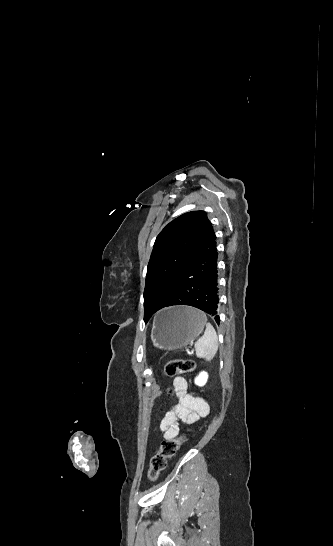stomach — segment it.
I'll return each mask as SVG.
<instances>
[{"instance_id": "1", "label": "stomach", "mask_w": 333, "mask_h": 546, "mask_svg": "<svg viewBox=\"0 0 333 546\" xmlns=\"http://www.w3.org/2000/svg\"><path fill=\"white\" fill-rule=\"evenodd\" d=\"M206 326L201 311L188 306L161 310L153 320L151 339L159 349L177 350L193 342Z\"/></svg>"}]
</instances>
